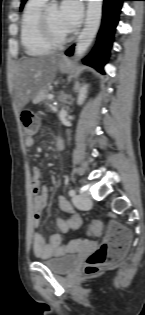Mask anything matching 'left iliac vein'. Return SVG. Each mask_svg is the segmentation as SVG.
Here are the masks:
<instances>
[{
  "label": "left iliac vein",
  "instance_id": "4c4485c4",
  "mask_svg": "<svg viewBox=\"0 0 145 315\" xmlns=\"http://www.w3.org/2000/svg\"><path fill=\"white\" fill-rule=\"evenodd\" d=\"M73 202L76 207L80 209H86L91 206L92 201L90 197L86 194H78L73 197Z\"/></svg>",
  "mask_w": 145,
  "mask_h": 315
}]
</instances>
